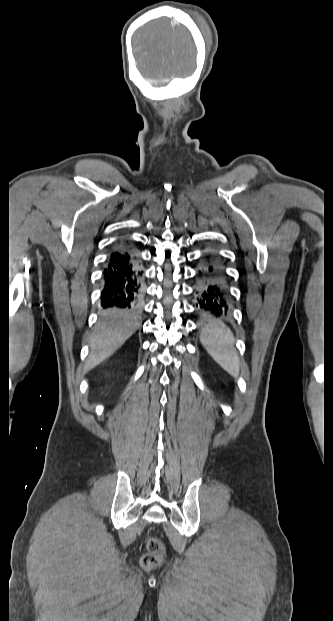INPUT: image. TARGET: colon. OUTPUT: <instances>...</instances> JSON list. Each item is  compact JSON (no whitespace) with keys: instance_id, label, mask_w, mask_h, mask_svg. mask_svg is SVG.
<instances>
[{"instance_id":"obj_1","label":"colon","mask_w":333,"mask_h":621,"mask_svg":"<svg viewBox=\"0 0 333 621\" xmlns=\"http://www.w3.org/2000/svg\"><path fill=\"white\" fill-rule=\"evenodd\" d=\"M147 553L141 558V566L145 570H151L159 566L163 561L164 546L155 537H148L145 541Z\"/></svg>"}]
</instances>
